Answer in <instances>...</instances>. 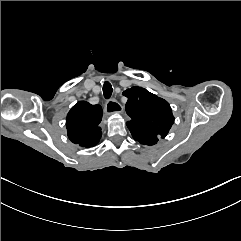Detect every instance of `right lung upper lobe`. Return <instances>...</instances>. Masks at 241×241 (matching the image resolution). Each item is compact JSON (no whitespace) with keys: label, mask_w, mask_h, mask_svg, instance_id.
<instances>
[{"label":"right lung upper lobe","mask_w":241,"mask_h":241,"mask_svg":"<svg viewBox=\"0 0 241 241\" xmlns=\"http://www.w3.org/2000/svg\"><path fill=\"white\" fill-rule=\"evenodd\" d=\"M102 114L100 105H91L86 101L77 102L70 109L66 118L69 139L81 147L95 146L102 135L99 127Z\"/></svg>","instance_id":"obj_1"}]
</instances>
